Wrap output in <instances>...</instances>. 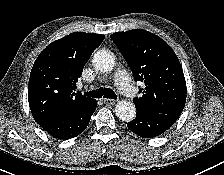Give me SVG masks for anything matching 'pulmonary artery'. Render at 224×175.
Here are the masks:
<instances>
[{
  "label": "pulmonary artery",
  "mask_w": 224,
  "mask_h": 175,
  "mask_svg": "<svg viewBox=\"0 0 224 175\" xmlns=\"http://www.w3.org/2000/svg\"><path fill=\"white\" fill-rule=\"evenodd\" d=\"M115 83L118 89L128 97H135L137 95V89L132 85L127 73L123 70L117 71L115 74Z\"/></svg>",
  "instance_id": "1"
}]
</instances>
